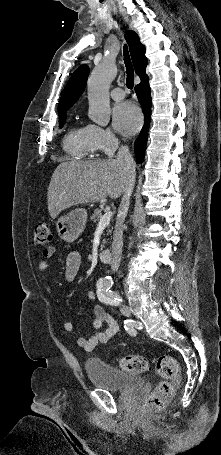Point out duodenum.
<instances>
[{
    "mask_svg": "<svg viewBox=\"0 0 221 455\" xmlns=\"http://www.w3.org/2000/svg\"><path fill=\"white\" fill-rule=\"evenodd\" d=\"M99 257L103 263L109 264L112 261V252L108 248H103L100 250Z\"/></svg>",
    "mask_w": 221,
    "mask_h": 455,
    "instance_id": "410a0bca",
    "label": "duodenum"
}]
</instances>
